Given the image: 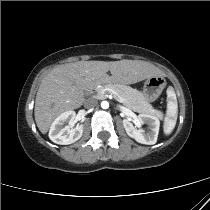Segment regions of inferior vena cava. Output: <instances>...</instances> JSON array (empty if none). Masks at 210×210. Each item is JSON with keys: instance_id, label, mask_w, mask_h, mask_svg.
<instances>
[{"instance_id": "obj_1", "label": "inferior vena cava", "mask_w": 210, "mask_h": 210, "mask_svg": "<svg viewBox=\"0 0 210 210\" xmlns=\"http://www.w3.org/2000/svg\"><path fill=\"white\" fill-rule=\"evenodd\" d=\"M97 104H98V101L96 99L91 98L85 102V107L92 108V107H95Z\"/></svg>"}]
</instances>
